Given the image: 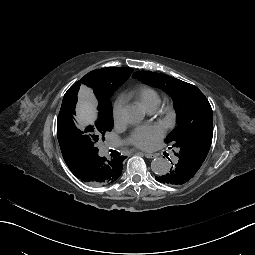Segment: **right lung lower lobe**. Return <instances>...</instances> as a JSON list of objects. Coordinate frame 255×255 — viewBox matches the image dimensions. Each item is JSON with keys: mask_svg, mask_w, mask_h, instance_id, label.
<instances>
[{"mask_svg": "<svg viewBox=\"0 0 255 255\" xmlns=\"http://www.w3.org/2000/svg\"><path fill=\"white\" fill-rule=\"evenodd\" d=\"M89 179L93 182H96L100 179L99 167L97 165H92L90 167Z\"/></svg>", "mask_w": 255, "mask_h": 255, "instance_id": "98d812e1", "label": "right lung lower lobe"}]
</instances>
